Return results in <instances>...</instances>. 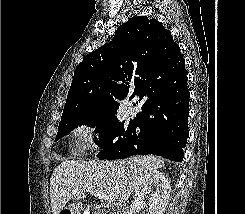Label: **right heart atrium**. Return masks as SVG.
Segmentation results:
<instances>
[{
  "label": "right heart atrium",
  "instance_id": "right-heart-atrium-1",
  "mask_svg": "<svg viewBox=\"0 0 245 214\" xmlns=\"http://www.w3.org/2000/svg\"><path fill=\"white\" fill-rule=\"evenodd\" d=\"M98 134V126L95 122L91 120L80 122L72 131L74 149L83 151L94 148Z\"/></svg>",
  "mask_w": 245,
  "mask_h": 214
}]
</instances>
